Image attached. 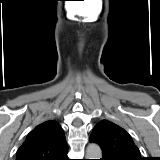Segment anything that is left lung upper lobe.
<instances>
[{
  "instance_id": "5c2ea615",
  "label": "left lung upper lobe",
  "mask_w": 160,
  "mask_h": 160,
  "mask_svg": "<svg viewBox=\"0 0 160 160\" xmlns=\"http://www.w3.org/2000/svg\"><path fill=\"white\" fill-rule=\"evenodd\" d=\"M90 142L100 145L105 160H143L131 136L108 120L96 124Z\"/></svg>"
}]
</instances>
